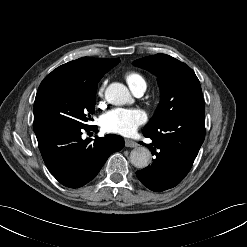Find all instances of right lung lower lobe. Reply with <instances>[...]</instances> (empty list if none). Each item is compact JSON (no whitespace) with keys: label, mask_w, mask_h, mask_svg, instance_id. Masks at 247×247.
<instances>
[{"label":"right lung lower lobe","mask_w":247,"mask_h":247,"mask_svg":"<svg viewBox=\"0 0 247 247\" xmlns=\"http://www.w3.org/2000/svg\"><path fill=\"white\" fill-rule=\"evenodd\" d=\"M40 152L51 174L64 186L78 188L91 181L108 157L124 147L121 136L82 139V132L97 126L75 128L66 125L34 127Z\"/></svg>","instance_id":"obj_1"}]
</instances>
